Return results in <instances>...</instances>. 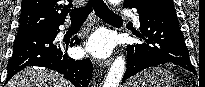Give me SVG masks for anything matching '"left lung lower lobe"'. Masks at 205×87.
<instances>
[{"label": "left lung lower lobe", "instance_id": "1", "mask_svg": "<svg viewBox=\"0 0 205 87\" xmlns=\"http://www.w3.org/2000/svg\"><path fill=\"white\" fill-rule=\"evenodd\" d=\"M124 7L137 8L141 34L135 35L145 42L127 45V70L123 82L146 68L165 63L194 72L172 2L159 0Z\"/></svg>", "mask_w": 205, "mask_h": 87}]
</instances>
